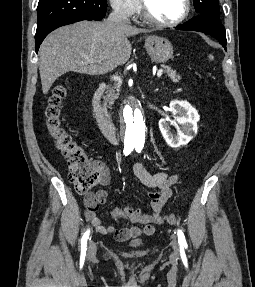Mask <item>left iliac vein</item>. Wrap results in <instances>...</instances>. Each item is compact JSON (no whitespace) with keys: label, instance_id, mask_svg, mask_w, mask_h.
Masks as SVG:
<instances>
[{"label":"left iliac vein","instance_id":"4c4485c4","mask_svg":"<svg viewBox=\"0 0 255 287\" xmlns=\"http://www.w3.org/2000/svg\"><path fill=\"white\" fill-rule=\"evenodd\" d=\"M172 246H173V249L175 250V252L177 253L178 252V244H177L176 240H173Z\"/></svg>","mask_w":255,"mask_h":287}]
</instances>
